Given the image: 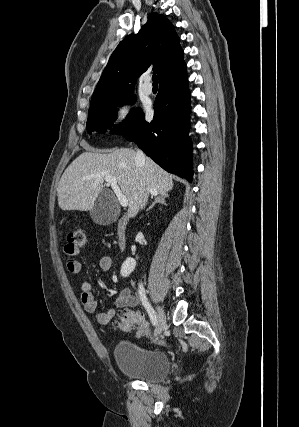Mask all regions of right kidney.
I'll list each match as a JSON object with an SVG mask.
<instances>
[{"label": "right kidney", "instance_id": "obj_1", "mask_svg": "<svg viewBox=\"0 0 299 427\" xmlns=\"http://www.w3.org/2000/svg\"><path fill=\"white\" fill-rule=\"evenodd\" d=\"M136 261L133 258H127L121 266V276L128 277L135 269Z\"/></svg>", "mask_w": 299, "mask_h": 427}]
</instances>
